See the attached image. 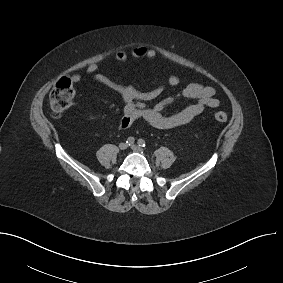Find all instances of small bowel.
<instances>
[{
  "mask_svg": "<svg viewBox=\"0 0 283 283\" xmlns=\"http://www.w3.org/2000/svg\"><path fill=\"white\" fill-rule=\"evenodd\" d=\"M114 57L120 63L127 62L130 57L155 60L157 52L153 48L135 46L129 52L125 50L117 51ZM86 71L96 81L115 91L123 99V116L119 123L121 130H127L136 120H144L149 125L158 129H171L184 126L200 115L206 108H216L220 104L219 100L215 97V89L213 87L200 83H191L176 96L167 97L154 106H149L148 103L157 98L165 87L178 85L180 78L177 75L169 74L157 87L149 92L141 93L132 86L119 84L105 74L100 73L97 64L88 65ZM71 78L75 83L80 82L82 79L79 74H74ZM177 97L192 99L194 102L175 114L164 115V108L171 104Z\"/></svg>",
  "mask_w": 283,
  "mask_h": 283,
  "instance_id": "obj_1",
  "label": "small bowel"
}]
</instances>
